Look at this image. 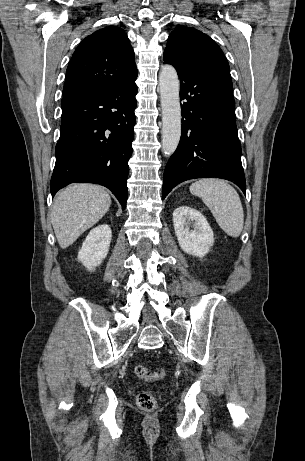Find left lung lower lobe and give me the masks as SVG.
<instances>
[{
    "mask_svg": "<svg viewBox=\"0 0 305 461\" xmlns=\"http://www.w3.org/2000/svg\"><path fill=\"white\" fill-rule=\"evenodd\" d=\"M177 73L182 132L164 171L162 199L185 180L207 177L234 181L245 194L230 72Z\"/></svg>",
    "mask_w": 305,
    "mask_h": 461,
    "instance_id": "1",
    "label": "left lung lower lobe"
}]
</instances>
